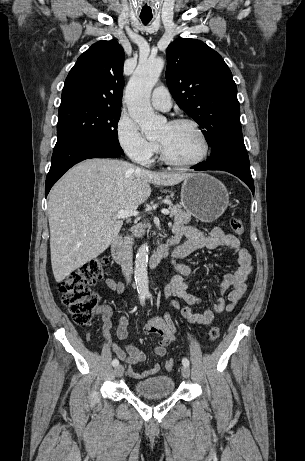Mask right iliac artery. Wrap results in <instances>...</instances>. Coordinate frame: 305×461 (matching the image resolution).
Returning <instances> with one entry per match:
<instances>
[{"instance_id":"1","label":"right iliac artery","mask_w":305,"mask_h":461,"mask_svg":"<svg viewBox=\"0 0 305 461\" xmlns=\"http://www.w3.org/2000/svg\"><path fill=\"white\" fill-rule=\"evenodd\" d=\"M141 304H144V297H141ZM112 365H113L114 367L118 366V365H119L118 359H116V358L113 359Z\"/></svg>"}]
</instances>
